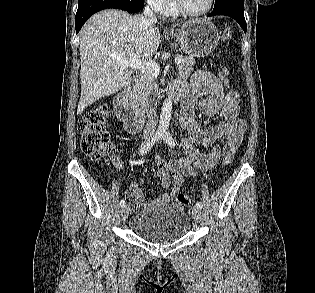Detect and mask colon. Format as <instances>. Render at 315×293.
I'll return each mask as SVG.
<instances>
[{
  "label": "colon",
  "mask_w": 315,
  "mask_h": 293,
  "mask_svg": "<svg viewBox=\"0 0 315 293\" xmlns=\"http://www.w3.org/2000/svg\"><path fill=\"white\" fill-rule=\"evenodd\" d=\"M233 35L231 28L226 27L223 31V39L230 40ZM221 78L223 85H231V78H227V70L222 68ZM108 118V108L100 106L85 113L79 124L80 144L82 151L92 159L99 160L107 156L113 147L111 137L103 129V125ZM231 161L230 155H224L223 164L228 165ZM129 190H135L130 188ZM176 202L182 207L191 205V198L183 193L176 196Z\"/></svg>",
  "instance_id": "1"
}]
</instances>
